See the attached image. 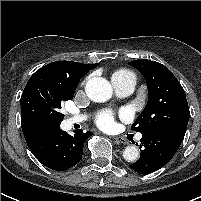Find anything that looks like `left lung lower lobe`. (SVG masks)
Returning a JSON list of instances; mask_svg holds the SVG:
<instances>
[{
    "instance_id": "left-lung-lower-lobe-1",
    "label": "left lung lower lobe",
    "mask_w": 201,
    "mask_h": 201,
    "mask_svg": "<svg viewBox=\"0 0 201 201\" xmlns=\"http://www.w3.org/2000/svg\"><path fill=\"white\" fill-rule=\"evenodd\" d=\"M187 126L168 124L142 133L140 158L130 165L139 174L155 172L166 165L181 145Z\"/></svg>"
}]
</instances>
